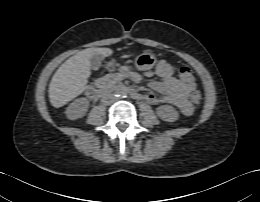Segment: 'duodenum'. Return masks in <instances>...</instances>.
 Wrapping results in <instances>:
<instances>
[{"mask_svg":"<svg viewBox=\"0 0 260 202\" xmlns=\"http://www.w3.org/2000/svg\"><path fill=\"white\" fill-rule=\"evenodd\" d=\"M105 90L121 91L131 95L133 98H140V94L130 87H117L114 83L108 81H101L98 83V87H88L85 93L88 98L96 99Z\"/></svg>","mask_w":260,"mask_h":202,"instance_id":"1","label":"duodenum"}]
</instances>
